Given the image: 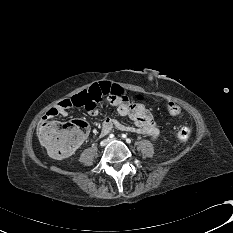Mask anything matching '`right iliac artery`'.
Instances as JSON below:
<instances>
[{
  "mask_svg": "<svg viewBox=\"0 0 233 233\" xmlns=\"http://www.w3.org/2000/svg\"><path fill=\"white\" fill-rule=\"evenodd\" d=\"M113 137H114V134H110V135H109V138H113Z\"/></svg>",
  "mask_w": 233,
  "mask_h": 233,
  "instance_id": "right-iliac-artery-1",
  "label": "right iliac artery"
}]
</instances>
